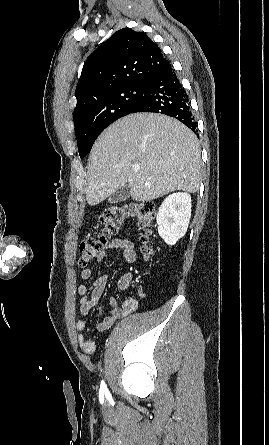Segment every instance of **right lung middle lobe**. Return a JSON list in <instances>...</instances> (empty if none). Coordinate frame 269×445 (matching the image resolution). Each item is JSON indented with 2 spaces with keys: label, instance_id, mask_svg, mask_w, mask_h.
I'll use <instances>...</instances> for the list:
<instances>
[{
  "label": "right lung middle lobe",
  "instance_id": "1",
  "mask_svg": "<svg viewBox=\"0 0 269 445\" xmlns=\"http://www.w3.org/2000/svg\"><path fill=\"white\" fill-rule=\"evenodd\" d=\"M147 92V84L127 85L99 95L74 111L78 152L83 158L99 134L117 119L126 116Z\"/></svg>",
  "mask_w": 269,
  "mask_h": 445
}]
</instances>
